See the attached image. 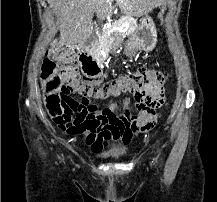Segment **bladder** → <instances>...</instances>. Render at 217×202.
Returning a JSON list of instances; mask_svg holds the SVG:
<instances>
[{
	"mask_svg": "<svg viewBox=\"0 0 217 202\" xmlns=\"http://www.w3.org/2000/svg\"><path fill=\"white\" fill-rule=\"evenodd\" d=\"M123 156H124V153L118 150L111 152L109 155V157H113V158H118V157H123Z\"/></svg>",
	"mask_w": 217,
	"mask_h": 202,
	"instance_id": "obj_1",
	"label": "bladder"
}]
</instances>
